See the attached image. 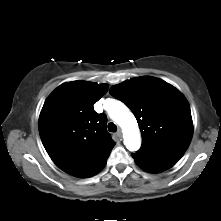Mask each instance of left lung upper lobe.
Masks as SVG:
<instances>
[{
    "label": "left lung upper lobe",
    "mask_w": 221,
    "mask_h": 221,
    "mask_svg": "<svg viewBox=\"0 0 221 221\" xmlns=\"http://www.w3.org/2000/svg\"><path fill=\"white\" fill-rule=\"evenodd\" d=\"M109 92L137 119L143 139L137 153L152 157L185 153L193 123L188 101L179 90L163 80L144 76L114 85Z\"/></svg>",
    "instance_id": "5c2ea615"
}]
</instances>
